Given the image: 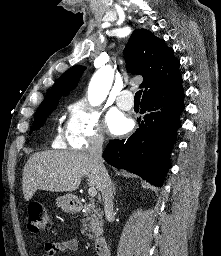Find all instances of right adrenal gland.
<instances>
[{
  "instance_id": "1",
  "label": "right adrenal gland",
  "mask_w": 221,
  "mask_h": 256,
  "mask_svg": "<svg viewBox=\"0 0 221 256\" xmlns=\"http://www.w3.org/2000/svg\"><path fill=\"white\" fill-rule=\"evenodd\" d=\"M113 192H114V195H116L114 184H113Z\"/></svg>"
}]
</instances>
